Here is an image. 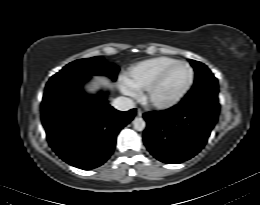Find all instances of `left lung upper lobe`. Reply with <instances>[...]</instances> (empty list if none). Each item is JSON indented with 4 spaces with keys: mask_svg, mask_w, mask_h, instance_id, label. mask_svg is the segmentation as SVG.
<instances>
[{
    "mask_svg": "<svg viewBox=\"0 0 260 205\" xmlns=\"http://www.w3.org/2000/svg\"><path fill=\"white\" fill-rule=\"evenodd\" d=\"M189 61L196 71V78L191 91L183 100L206 101L219 107L217 79L203 63L195 60Z\"/></svg>",
    "mask_w": 260,
    "mask_h": 205,
    "instance_id": "obj_1",
    "label": "left lung upper lobe"
}]
</instances>
